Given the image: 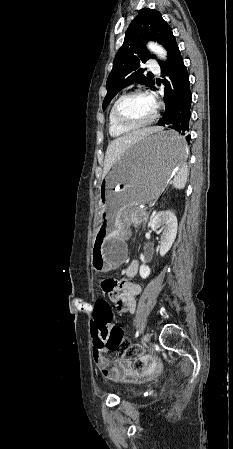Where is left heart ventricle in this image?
Instances as JSON below:
<instances>
[{
	"instance_id": "obj_1",
	"label": "left heart ventricle",
	"mask_w": 233,
	"mask_h": 449,
	"mask_svg": "<svg viewBox=\"0 0 233 449\" xmlns=\"http://www.w3.org/2000/svg\"><path fill=\"white\" fill-rule=\"evenodd\" d=\"M154 112V102L149 96L136 95L124 99L118 108L119 117L128 123L148 120Z\"/></svg>"
}]
</instances>
